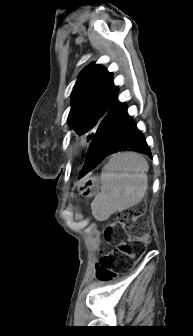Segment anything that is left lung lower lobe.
<instances>
[{
  "label": "left lung lower lobe",
  "instance_id": "left-lung-lower-lobe-1",
  "mask_svg": "<svg viewBox=\"0 0 193 336\" xmlns=\"http://www.w3.org/2000/svg\"><path fill=\"white\" fill-rule=\"evenodd\" d=\"M123 150L151 157L150 148L133 119L128 116L126 105L117 102L99 123L79 178L93 170L108 155Z\"/></svg>",
  "mask_w": 193,
  "mask_h": 336
}]
</instances>
